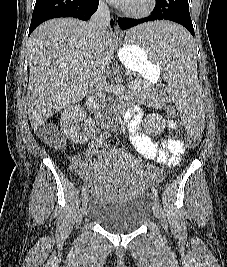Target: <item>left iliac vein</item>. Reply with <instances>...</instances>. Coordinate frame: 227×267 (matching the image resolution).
<instances>
[{
	"label": "left iliac vein",
	"mask_w": 227,
	"mask_h": 267,
	"mask_svg": "<svg viewBox=\"0 0 227 267\" xmlns=\"http://www.w3.org/2000/svg\"><path fill=\"white\" fill-rule=\"evenodd\" d=\"M152 210H153V214H154L157 218H159V216H160V209H159V203L157 202L156 199H153Z\"/></svg>",
	"instance_id": "1"
}]
</instances>
